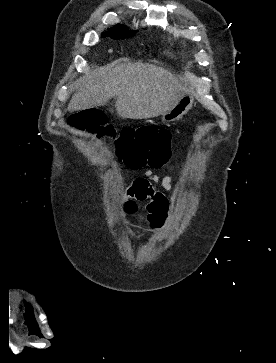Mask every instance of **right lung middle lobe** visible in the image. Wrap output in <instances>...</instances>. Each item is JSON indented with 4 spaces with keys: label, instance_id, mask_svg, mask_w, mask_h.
Here are the masks:
<instances>
[{
    "label": "right lung middle lobe",
    "instance_id": "obj_1",
    "mask_svg": "<svg viewBox=\"0 0 276 363\" xmlns=\"http://www.w3.org/2000/svg\"><path fill=\"white\" fill-rule=\"evenodd\" d=\"M134 33L135 31H129L124 25H116L114 29L103 33V36L124 39L125 37L132 36Z\"/></svg>",
    "mask_w": 276,
    "mask_h": 363
}]
</instances>
